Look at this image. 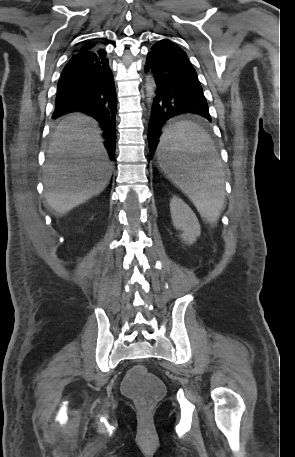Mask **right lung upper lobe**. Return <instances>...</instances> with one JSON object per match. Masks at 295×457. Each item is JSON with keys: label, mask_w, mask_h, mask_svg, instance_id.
I'll list each match as a JSON object with an SVG mask.
<instances>
[{"label": "right lung upper lobe", "mask_w": 295, "mask_h": 457, "mask_svg": "<svg viewBox=\"0 0 295 457\" xmlns=\"http://www.w3.org/2000/svg\"><path fill=\"white\" fill-rule=\"evenodd\" d=\"M94 46H95V44L87 43L79 51H88V50H91Z\"/></svg>", "instance_id": "obj_1"}]
</instances>
